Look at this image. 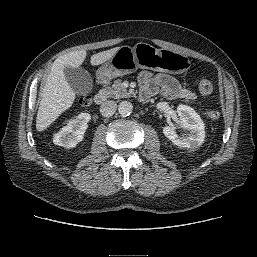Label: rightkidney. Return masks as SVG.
Returning <instances> with one entry per match:
<instances>
[{
    "label": "right kidney",
    "instance_id": "obj_1",
    "mask_svg": "<svg viewBox=\"0 0 257 257\" xmlns=\"http://www.w3.org/2000/svg\"><path fill=\"white\" fill-rule=\"evenodd\" d=\"M90 119V114L80 113L54 135L53 143L66 149L74 148L83 140Z\"/></svg>",
    "mask_w": 257,
    "mask_h": 257
}]
</instances>
